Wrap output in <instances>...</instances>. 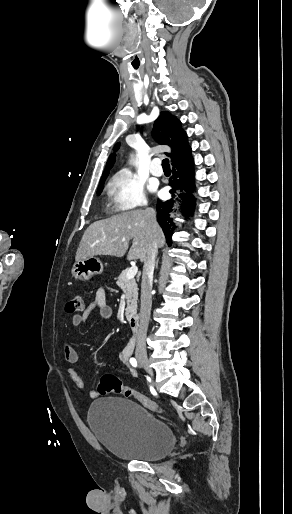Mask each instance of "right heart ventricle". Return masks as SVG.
Masks as SVG:
<instances>
[{
  "label": "right heart ventricle",
  "instance_id": "1",
  "mask_svg": "<svg viewBox=\"0 0 292 514\" xmlns=\"http://www.w3.org/2000/svg\"><path fill=\"white\" fill-rule=\"evenodd\" d=\"M106 207H107V211H108L109 213H113L114 211H116V210L113 208V206H112L111 202H107Z\"/></svg>",
  "mask_w": 292,
  "mask_h": 514
}]
</instances>
